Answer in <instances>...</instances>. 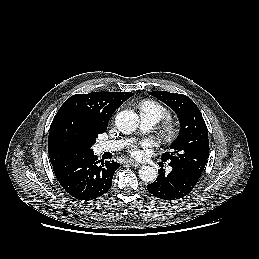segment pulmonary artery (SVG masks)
<instances>
[{"label":"pulmonary artery","mask_w":259,"mask_h":259,"mask_svg":"<svg viewBox=\"0 0 259 259\" xmlns=\"http://www.w3.org/2000/svg\"><path fill=\"white\" fill-rule=\"evenodd\" d=\"M157 123L156 118H154L151 115L148 114H141V129L143 131H148L151 130L155 124ZM128 141L127 140H112V141H106L102 142L99 145V150L101 152L105 151H115L118 150L125 145H127Z\"/></svg>","instance_id":"obj_1"}]
</instances>
